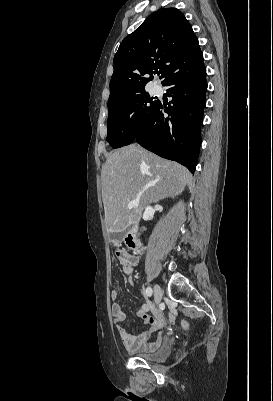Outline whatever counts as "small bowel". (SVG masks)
<instances>
[{"mask_svg":"<svg viewBox=\"0 0 273 401\" xmlns=\"http://www.w3.org/2000/svg\"><path fill=\"white\" fill-rule=\"evenodd\" d=\"M116 250L114 256L121 266L125 274H131L134 266L138 262V258L127 249L121 248L119 243L115 242ZM129 284L133 285L134 280L129 279ZM111 313L114 317V326L117 334L121 337L125 348L131 352H153L163 343L162 328L164 326V317L162 313L153 307L150 303H143L137 310L136 315L146 329L134 334L126 330L122 326L125 319V312L119 302V290L113 288L111 291ZM152 312V315L150 314ZM189 318L183 319V324L186 329L191 327ZM186 331V330H185ZM153 335H155L153 337Z\"/></svg>","mask_w":273,"mask_h":401,"instance_id":"obj_1","label":"small bowel"}]
</instances>
